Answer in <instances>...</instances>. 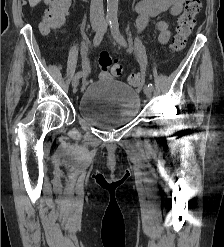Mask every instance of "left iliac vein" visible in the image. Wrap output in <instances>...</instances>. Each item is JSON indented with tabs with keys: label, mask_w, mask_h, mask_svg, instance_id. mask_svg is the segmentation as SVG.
<instances>
[{
	"label": "left iliac vein",
	"mask_w": 224,
	"mask_h": 247,
	"mask_svg": "<svg viewBox=\"0 0 224 247\" xmlns=\"http://www.w3.org/2000/svg\"><path fill=\"white\" fill-rule=\"evenodd\" d=\"M143 91L147 97L151 98L153 89L146 85L144 86Z\"/></svg>",
	"instance_id": "left-iliac-vein-1"
}]
</instances>
